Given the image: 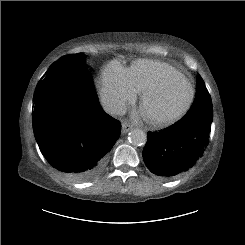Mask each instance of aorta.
<instances>
[{
	"instance_id": "obj_1",
	"label": "aorta",
	"mask_w": 245,
	"mask_h": 245,
	"mask_svg": "<svg viewBox=\"0 0 245 245\" xmlns=\"http://www.w3.org/2000/svg\"><path fill=\"white\" fill-rule=\"evenodd\" d=\"M129 141L134 146H141L147 142V135L141 129H133L128 134Z\"/></svg>"
}]
</instances>
